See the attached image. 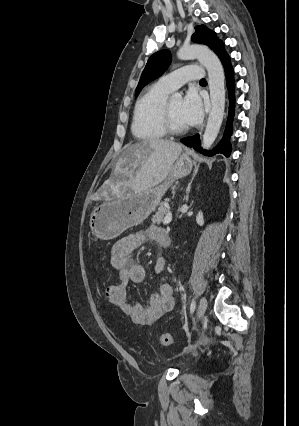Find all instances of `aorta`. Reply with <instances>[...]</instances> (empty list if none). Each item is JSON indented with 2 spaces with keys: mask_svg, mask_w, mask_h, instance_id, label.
I'll return each instance as SVG.
<instances>
[{
  "mask_svg": "<svg viewBox=\"0 0 299 426\" xmlns=\"http://www.w3.org/2000/svg\"><path fill=\"white\" fill-rule=\"evenodd\" d=\"M181 60L198 59L207 69L211 111L203 135L202 147L209 149L219 133L225 110V76L222 64L217 55L209 48L202 45L184 46L177 52ZM174 99H181L180 93L172 95Z\"/></svg>",
  "mask_w": 299,
  "mask_h": 426,
  "instance_id": "762f6f07",
  "label": "aorta"
}]
</instances>
